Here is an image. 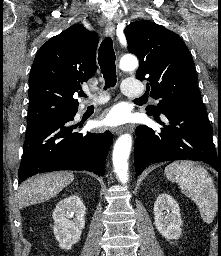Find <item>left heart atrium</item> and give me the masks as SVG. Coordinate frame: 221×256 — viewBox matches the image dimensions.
Here are the masks:
<instances>
[{
  "mask_svg": "<svg viewBox=\"0 0 221 256\" xmlns=\"http://www.w3.org/2000/svg\"><path fill=\"white\" fill-rule=\"evenodd\" d=\"M126 121V114L123 110L115 108L111 110L103 119L102 124L106 126H117Z\"/></svg>",
  "mask_w": 221,
  "mask_h": 256,
  "instance_id": "obj_1",
  "label": "left heart atrium"
}]
</instances>
